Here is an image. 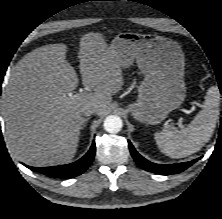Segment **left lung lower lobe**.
<instances>
[{
	"label": "left lung lower lobe",
	"mask_w": 222,
	"mask_h": 219,
	"mask_svg": "<svg viewBox=\"0 0 222 219\" xmlns=\"http://www.w3.org/2000/svg\"><path fill=\"white\" fill-rule=\"evenodd\" d=\"M129 149L131 152L132 157L134 158L135 162L144 170L150 171L152 173L156 174H177L188 167H190L194 162H196L198 159L185 162V163H176V164H155L148 160H146L144 157H142L133 147L130 141H128Z\"/></svg>",
	"instance_id": "1"
}]
</instances>
